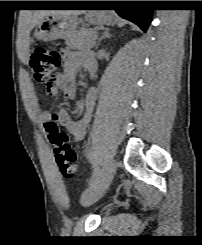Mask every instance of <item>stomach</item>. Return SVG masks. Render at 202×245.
<instances>
[{"instance_id": "1", "label": "stomach", "mask_w": 202, "mask_h": 245, "mask_svg": "<svg viewBox=\"0 0 202 245\" xmlns=\"http://www.w3.org/2000/svg\"><path fill=\"white\" fill-rule=\"evenodd\" d=\"M85 20L89 24H112V16L102 10H93L85 14ZM77 16L47 15L42 18L36 27L34 36L38 41H51L56 39L71 38L81 22Z\"/></svg>"}]
</instances>
